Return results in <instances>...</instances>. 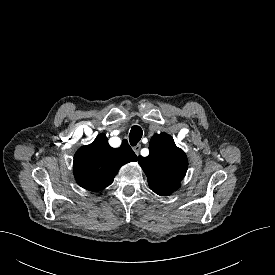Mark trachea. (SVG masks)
I'll list each match as a JSON object with an SVG mask.
<instances>
[{"label":"trachea","mask_w":275,"mask_h":275,"mask_svg":"<svg viewBox=\"0 0 275 275\" xmlns=\"http://www.w3.org/2000/svg\"><path fill=\"white\" fill-rule=\"evenodd\" d=\"M142 129L139 126H133L129 134V141L131 146H136L142 137Z\"/></svg>","instance_id":"1"}]
</instances>
